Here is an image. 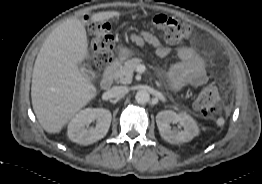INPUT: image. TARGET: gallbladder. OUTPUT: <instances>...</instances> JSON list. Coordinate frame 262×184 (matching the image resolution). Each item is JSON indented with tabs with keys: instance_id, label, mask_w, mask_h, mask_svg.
Returning a JSON list of instances; mask_svg holds the SVG:
<instances>
[{
	"instance_id": "1",
	"label": "gallbladder",
	"mask_w": 262,
	"mask_h": 184,
	"mask_svg": "<svg viewBox=\"0 0 262 184\" xmlns=\"http://www.w3.org/2000/svg\"><path fill=\"white\" fill-rule=\"evenodd\" d=\"M80 73L86 78V79H91L92 78V72L88 68H86L83 65L79 66Z\"/></svg>"
}]
</instances>
